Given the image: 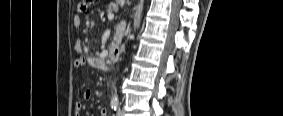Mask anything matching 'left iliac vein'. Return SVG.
I'll return each instance as SVG.
<instances>
[{"label":"left iliac vein","instance_id":"4c4485c4","mask_svg":"<svg viewBox=\"0 0 283 116\" xmlns=\"http://www.w3.org/2000/svg\"><path fill=\"white\" fill-rule=\"evenodd\" d=\"M117 116H122V111H121L120 108H119L118 111H117Z\"/></svg>","mask_w":283,"mask_h":116}]
</instances>
